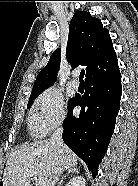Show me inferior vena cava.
<instances>
[{
    "mask_svg": "<svg viewBox=\"0 0 138 186\" xmlns=\"http://www.w3.org/2000/svg\"><path fill=\"white\" fill-rule=\"evenodd\" d=\"M62 133H63V127H58L54 131V133L52 134L51 139H50V143L55 148V150L57 151L58 154L61 153V149L64 145L63 140H62ZM60 174H61L60 169H57L54 172L50 186H55L56 182L59 179Z\"/></svg>",
    "mask_w": 138,
    "mask_h": 186,
    "instance_id": "obj_1",
    "label": "inferior vena cava"
}]
</instances>
